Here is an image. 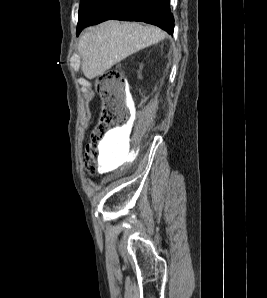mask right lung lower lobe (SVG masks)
<instances>
[{"instance_id": "right-lung-lower-lobe-1", "label": "right lung lower lobe", "mask_w": 267, "mask_h": 298, "mask_svg": "<svg viewBox=\"0 0 267 298\" xmlns=\"http://www.w3.org/2000/svg\"><path fill=\"white\" fill-rule=\"evenodd\" d=\"M109 19L142 21L173 34L174 18L170 12V0H104L93 15L77 26L81 30Z\"/></svg>"}]
</instances>
